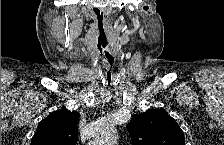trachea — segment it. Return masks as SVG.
Instances as JSON below:
<instances>
[{"label":"trachea","instance_id":"1","mask_svg":"<svg viewBox=\"0 0 224 145\" xmlns=\"http://www.w3.org/2000/svg\"><path fill=\"white\" fill-rule=\"evenodd\" d=\"M107 55H109V54L107 53ZM112 63H113V60H112V58H111V59H110L111 67H112ZM107 75H108V77H109L110 80H111V70L108 71Z\"/></svg>","mask_w":224,"mask_h":145}]
</instances>
